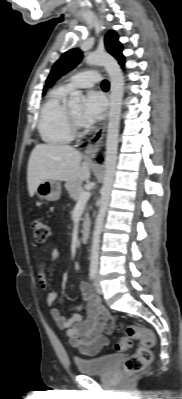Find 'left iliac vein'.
I'll return each instance as SVG.
<instances>
[{
  "mask_svg": "<svg viewBox=\"0 0 182 399\" xmlns=\"http://www.w3.org/2000/svg\"><path fill=\"white\" fill-rule=\"evenodd\" d=\"M94 285H95L96 292L101 295L103 293V290H102V287H101V284H100L99 275L96 276Z\"/></svg>",
  "mask_w": 182,
  "mask_h": 399,
  "instance_id": "obj_1",
  "label": "left iliac vein"
}]
</instances>
